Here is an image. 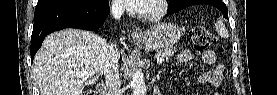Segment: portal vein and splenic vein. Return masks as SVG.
I'll return each instance as SVG.
<instances>
[{"instance_id": "portal-vein-and-splenic-vein-1", "label": "portal vein and splenic vein", "mask_w": 277, "mask_h": 95, "mask_svg": "<svg viewBox=\"0 0 277 95\" xmlns=\"http://www.w3.org/2000/svg\"><path fill=\"white\" fill-rule=\"evenodd\" d=\"M164 61L163 57L157 58V63L162 64ZM95 72H83V73H77L76 76L81 77V78H87L91 75H93Z\"/></svg>"}]
</instances>
